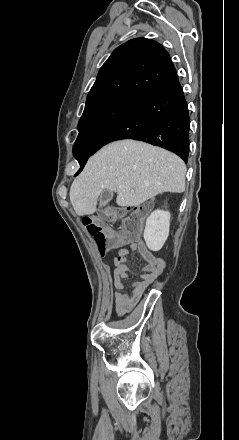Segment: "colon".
<instances>
[{
  "instance_id": "5ec220e1",
  "label": "colon",
  "mask_w": 239,
  "mask_h": 440,
  "mask_svg": "<svg viewBox=\"0 0 239 440\" xmlns=\"http://www.w3.org/2000/svg\"><path fill=\"white\" fill-rule=\"evenodd\" d=\"M142 208L109 209L102 216H86L82 219L88 233L93 237L101 255L118 249L122 244L132 242L138 238L141 230V221L136 214ZM121 219L122 229L118 232L108 228L106 221Z\"/></svg>"
}]
</instances>
